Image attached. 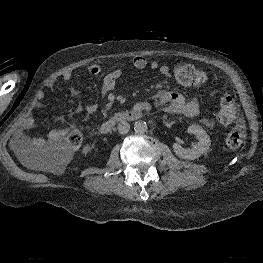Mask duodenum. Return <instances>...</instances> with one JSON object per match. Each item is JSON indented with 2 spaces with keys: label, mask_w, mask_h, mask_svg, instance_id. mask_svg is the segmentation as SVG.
Listing matches in <instances>:
<instances>
[{
  "label": "duodenum",
  "mask_w": 263,
  "mask_h": 263,
  "mask_svg": "<svg viewBox=\"0 0 263 263\" xmlns=\"http://www.w3.org/2000/svg\"><path fill=\"white\" fill-rule=\"evenodd\" d=\"M150 110V105L147 103H138L127 110L115 113L110 118L105 120L101 126L100 131L104 134L109 133L113 127L121 122L134 121L141 118L146 112Z\"/></svg>",
  "instance_id": "obj_1"
}]
</instances>
